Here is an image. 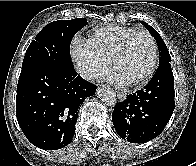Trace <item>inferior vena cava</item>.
<instances>
[{
    "instance_id": "1",
    "label": "inferior vena cava",
    "mask_w": 196,
    "mask_h": 166,
    "mask_svg": "<svg viewBox=\"0 0 196 166\" xmlns=\"http://www.w3.org/2000/svg\"><path fill=\"white\" fill-rule=\"evenodd\" d=\"M78 73L81 77L87 80L93 78V75H94L93 70L88 67L79 68Z\"/></svg>"
}]
</instances>
